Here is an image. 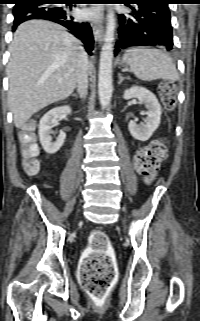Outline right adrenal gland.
Segmentation results:
<instances>
[{
    "label": "right adrenal gland",
    "instance_id": "1",
    "mask_svg": "<svg viewBox=\"0 0 200 321\" xmlns=\"http://www.w3.org/2000/svg\"><path fill=\"white\" fill-rule=\"evenodd\" d=\"M72 97L78 98L79 96L76 93H74V94H72Z\"/></svg>",
    "mask_w": 200,
    "mask_h": 321
}]
</instances>
